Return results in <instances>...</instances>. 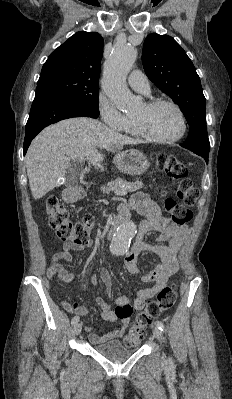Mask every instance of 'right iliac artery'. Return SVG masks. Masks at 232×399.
Masks as SVG:
<instances>
[{"label": "right iliac artery", "instance_id": "right-iliac-artery-1", "mask_svg": "<svg viewBox=\"0 0 232 399\" xmlns=\"http://www.w3.org/2000/svg\"><path fill=\"white\" fill-rule=\"evenodd\" d=\"M79 320H80V318H79V316H74L73 318H72V324L73 325H75V324H77L78 322H79Z\"/></svg>", "mask_w": 232, "mask_h": 399}]
</instances>
